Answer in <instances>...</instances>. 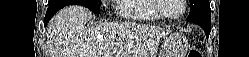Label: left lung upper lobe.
<instances>
[{
    "instance_id": "1",
    "label": "left lung upper lobe",
    "mask_w": 249,
    "mask_h": 57,
    "mask_svg": "<svg viewBox=\"0 0 249 57\" xmlns=\"http://www.w3.org/2000/svg\"><path fill=\"white\" fill-rule=\"evenodd\" d=\"M190 13L187 21H207L211 22V9L209 0H189Z\"/></svg>"
}]
</instances>
